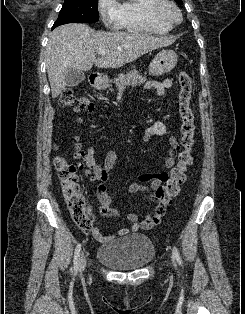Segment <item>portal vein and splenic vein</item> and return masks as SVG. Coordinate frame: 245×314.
<instances>
[{
  "mask_svg": "<svg viewBox=\"0 0 245 314\" xmlns=\"http://www.w3.org/2000/svg\"><path fill=\"white\" fill-rule=\"evenodd\" d=\"M97 54L103 56L106 54V52L105 51H98Z\"/></svg>",
  "mask_w": 245,
  "mask_h": 314,
  "instance_id": "1",
  "label": "portal vein and splenic vein"
}]
</instances>
